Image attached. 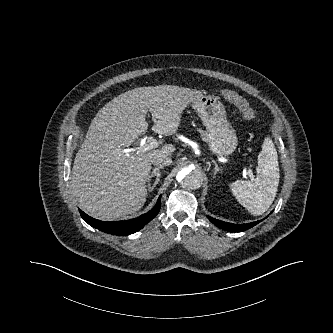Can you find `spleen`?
I'll return each mask as SVG.
<instances>
[{
	"label": "spleen",
	"mask_w": 333,
	"mask_h": 333,
	"mask_svg": "<svg viewBox=\"0 0 333 333\" xmlns=\"http://www.w3.org/2000/svg\"><path fill=\"white\" fill-rule=\"evenodd\" d=\"M279 164L275 146L266 138L258 156L254 181L236 180L230 187L233 195L253 215H261L272 205L279 184Z\"/></svg>",
	"instance_id": "obj_1"
}]
</instances>
